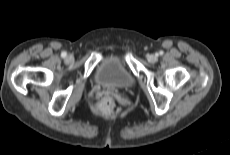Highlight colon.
<instances>
[{
  "instance_id": "colon-1",
  "label": "colon",
  "mask_w": 230,
  "mask_h": 155,
  "mask_svg": "<svg viewBox=\"0 0 230 155\" xmlns=\"http://www.w3.org/2000/svg\"><path fill=\"white\" fill-rule=\"evenodd\" d=\"M100 108L108 115H115L119 112L118 105L111 97H105L100 103Z\"/></svg>"
}]
</instances>
